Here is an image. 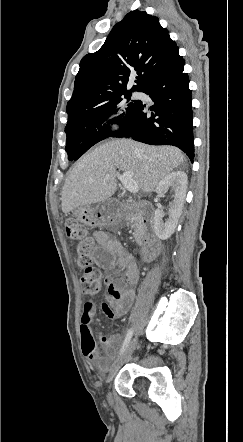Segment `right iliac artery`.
Here are the masks:
<instances>
[{
    "label": "right iliac artery",
    "mask_w": 243,
    "mask_h": 442,
    "mask_svg": "<svg viewBox=\"0 0 243 442\" xmlns=\"http://www.w3.org/2000/svg\"><path fill=\"white\" fill-rule=\"evenodd\" d=\"M132 334H133L132 329H129V331L127 332V335H126V337H125L124 343H123V345H122V348H121V350H120V355H121V354L126 350V348L128 347V344H129V342H130V340H131Z\"/></svg>",
    "instance_id": "82829eb1"
}]
</instances>
